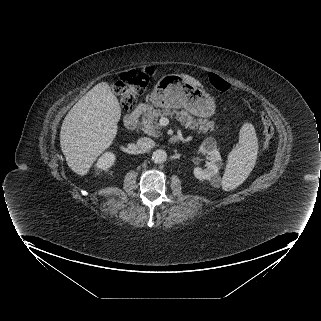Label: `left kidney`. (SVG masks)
<instances>
[{"instance_id": "1", "label": "left kidney", "mask_w": 321, "mask_h": 321, "mask_svg": "<svg viewBox=\"0 0 321 321\" xmlns=\"http://www.w3.org/2000/svg\"><path fill=\"white\" fill-rule=\"evenodd\" d=\"M199 150L209 156L210 162H207L206 168L195 167L193 170L194 176L199 180H210L216 176L218 170L222 166V159L219 150L216 147V142L212 138L206 139Z\"/></svg>"}]
</instances>
